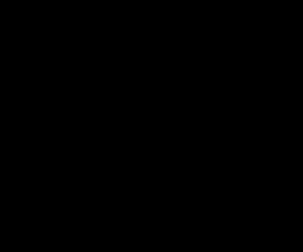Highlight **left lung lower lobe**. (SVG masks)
<instances>
[{"mask_svg": "<svg viewBox=\"0 0 303 252\" xmlns=\"http://www.w3.org/2000/svg\"><path fill=\"white\" fill-rule=\"evenodd\" d=\"M209 150L211 151V153L216 154L218 152V150L220 149L218 146L216 145H209L208 146Z\"/></svg>", "mask_w": 303, "mask_h": 252, "instance_id": "0a47b994", "label": "left lung lower lobe"}]
</instances>
